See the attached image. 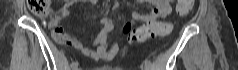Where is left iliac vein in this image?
I'll return each instance as SVG.
<instances>
[{
	"label": "left iliac vein",
	"instance_id": "obj_1",
	"mask_svg": "<svg viewBox=\"0 0 238 70\" xmlns=\"http://www.w3.org/2000/svg\"><path fill=\"white\" fill-rule=\"evenodd\" d=\"M143 70H149V68L145 66V67L143 68Z\"/></svg>",
	"mask_w": 238,
	"mask_h": 70
}]
</instances>
